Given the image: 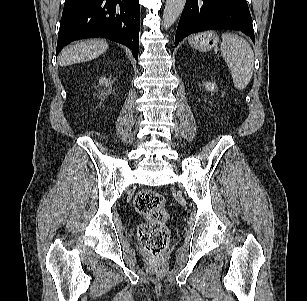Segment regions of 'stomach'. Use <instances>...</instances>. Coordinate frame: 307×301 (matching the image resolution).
<instances>
[{"label": "stomach", "mask_w": 307, "mask_h": 301, "mask_svg": "<svg viewBox=\"0 0 307 301\" xmlns=\"http://www.w3.org/2000/svg\"><path fill=\"white\" fill-rule=\"evenodd\" d=\"M189 44L197 50L208 51L218 44V36L215 32H203L189 38Z\"/></svg>", "instance_id": "stomach-1"}]
</instances>
